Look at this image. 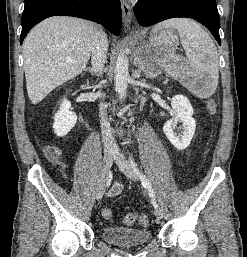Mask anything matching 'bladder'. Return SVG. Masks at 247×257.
I'll list each match as a JSON object with an SVG mask.
<instances>
[{
	"label": "bladder",
	"mask_w": 247,
	"mask_h": 257,
	"mask_svg": "<svg viewBox=\"0 0 247 257\" xmlns=\"http://www.w3.org/2000/svg\"><path fill=\"white\" fill-rule=\"evenodd\" d=\"M104 241L117 246H138L151 239L148 229H133L121 226H108L101 230Z\"/></svg>",
	"instance_id": "31cf9c89"
}]
</instances>
